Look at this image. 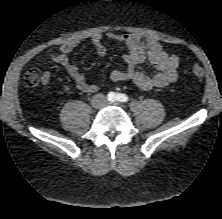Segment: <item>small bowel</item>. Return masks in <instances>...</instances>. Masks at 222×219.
<instances>
[{
	"label": "small bowel",
	"mask_w": 222,
	"mask_h": 219,
	"mask_svg": "<svg viewBox=\"0 0 222 219\" xmlns=\"http://www.w3.org/2000/svg\"><path fill=\"white\" fill-rule=\"evenodd\" d=\"M107 37L113 41L124 44L128 52L124 56L125 68L114 70L110 74V79L114 82L130 81L140 91H149L153 88H163L174 83L178 78L180 65L179 57L165 50L159 41L153 36L142 38L134 33H114L109 32ZM91 42L95 47V52L99 57L106 55V47L103 44L101 34H94ZM77 42L69 41L62 44L57 52L48 54L52 63L60 65L75 80L77 88L85 93H93L98 90V86L89 82L86 75L69 59V54L76 48ZM148 63L155 68L153 75H147L138 70V65ZM51 80V74L45 71L41 74V85L46 87ZM64 92H70L69 85H62Z\"/></svg>",
	"instance_id": "1"
}]
</instances>
